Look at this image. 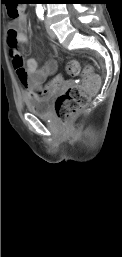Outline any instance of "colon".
<instances>
[{"label":"colon","mask_w":122,"mask_h":257,"mask_svg":"<svg viewBox=\"0 0 122 257\" xmlns=\"http://www.w3.org/2000/svg\"><path fill=\"white\" fill-rule=\"evenodd\" d=\"M5 10H10L11 19H16L19 16V5H5ZM66 70L71 76H81L82 82L80 85L70 87L55 101V113L58 119L63 124H67L78 112H80L89 102L92 94H94L100 85V79L95 75L89 67L82 69L79 61L72 60ZM65 74H53L49 82H44V87L47 89H31L33 98H42V94H47L48 90H64ZM32 88H41V83H32Z\"/></svg>","instance_id":"colon-1"}]
</instances>
